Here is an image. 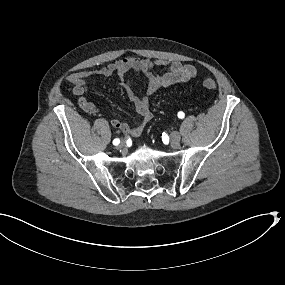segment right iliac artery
<instances>
[{"label": "right iliac artery", "mask_w": 285, "mask_h": 285, "mask_svg": "<svg viewBox=\"0 0 285 285\" xmlns=\"http://www.w3.org/2000/svg\"><path fill=\"white\" fill-rule=\"evenodd\" d=\"M120 143V140L119 139H114L113 140V145H118Z\"/></svg>", "instance_id": "right-iliac-artery-1"}]
</instances>
